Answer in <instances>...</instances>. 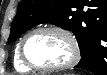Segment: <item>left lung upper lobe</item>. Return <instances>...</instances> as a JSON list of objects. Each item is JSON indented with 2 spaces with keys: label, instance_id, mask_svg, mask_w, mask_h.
I'll return each mask as SVG.
<instances>
[{
  "label": "left lung upper lobe",
  "instance_id": "left-lung-upper-lobe-1",
  "mask_svg": "<svg viewBox=\"0 0 107 75\" xmlns=\"http://www.w3.org/2000/svg\"><path fill=\"white\" fill-rule=\"evenodd\" d=\"M84 2L85 0H22L12 22L8 42L15 41L36 24L52 23L73 32L82 54V39L89 29L100 41L107 40V16L99 18L90 10L84 12Z\"/></svg>",
  "mask_w": 107,
  "mask_h": 75
}]
</instances>
